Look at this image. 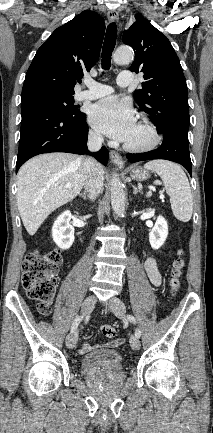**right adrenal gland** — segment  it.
Wrapping results in <instances>:
<instances>
[{"instance_id": "1", "label": "right adrenal gland", "mask_w": 213, "mask_h": 433, "mask_svg": "<svg viewBox=\"0 0 213 433\" xmlns=\"http://www.w3.org/2000/svg\"><path fill=\"white\" fill-rule=\"evenodd\" d=\"M79 196L81 197V198H83V200H87L89 197L86 195V193H81V194H79Z\"/></svg>"}]
</instances>
